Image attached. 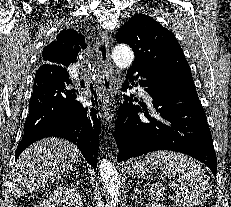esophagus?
<instances>
[{"label":"esophagus","mask_w":231,"mask_h":207,"mask_svg":"<svg viewBox=\"0 0 231 207\" xmlns=\"http://www.w3.org/2000/svg\"><path fill=\"white\" fill-rule=\"evenodd\" d=\"M95 51L100 68V85L104 104L108 105L115 94L116 76L110 58L109 36L106 31L98 34L95 41Z\"/></svg>","instance_id":"1"}]
</instances>
